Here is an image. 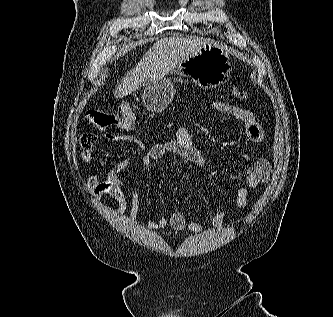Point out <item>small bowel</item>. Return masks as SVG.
Returning <instances> with one entry per match:
<instances>
[{
    "instance_id": "small-bowel-1",
    "label": "small bowel",
    "mask_w": 333,
    "mask_h": 317,
    "mask_svg": "<svg viewBox=\"0 0 333 317\" xmlns=\"http://www.w3.org/2000/svg\"><path fill=\"white\" fill-rule=\"evenodd\" d=\"M211 106L216 111L231 115L242 123L247 137L252 142L260 143L263 141V129L252 111L223 101L212 102ZM103 139L112 142L129 141L136 144L139 148L144 149L142 141L129 134L106 133L103 135ZM97 140V136L92 133H85L76 139L75 148H80L81 158L85 163L91 162L92 148ZM170 155L178 156L194 165H202L204 162L203 155L195 146L191 133L184 126L177 128L176 134L172 139L151 146L141 157L140 162L142 166L150 167L156 161L165 159ZM240 157L244 163L245 181L236 190L235 206L238 210H243L248 204L249 190H254L268 181L271 173V165L265 158L253 160L244 151L240 153ZM131 163V158H126L119 162L110 170L106 179L103 180L95 175L90 176L86 187L96 199L103 196L113 198L117 202L118 215L123 216L129 213L131 219L135 221L139 211L138 195L121 177V174ZM224 219V210H218L212 218V225L220 228L224 223ZM148 227L151 230L172 228L176 231L188 229L194 233H201L203 231L201 224L189 221L179 210L174 211L170 216H163L158 220H148Z\"/></svg>"
}]
</instances>
